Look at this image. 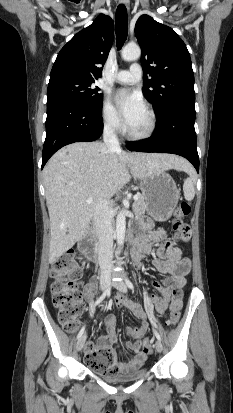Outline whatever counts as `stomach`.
<instances>
[{
	"label": "stomach",
	"mask_w": 233,
	"mask_h": 413,
	"mask_svg": "<svg viewBox=\"0 0 233 413\" xmlns=\"http://www.w3.org/2000/svg\"><path fill=\"white\" fill-rule=\"evenodd\" d=\"M140 189L148 202V214L155 220L165 221L173 214L179 191L173 178L164 171L148 173L140 178Z\"/></svg>",
	"instance_id": "1"
}]
</instances>
